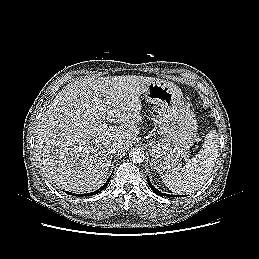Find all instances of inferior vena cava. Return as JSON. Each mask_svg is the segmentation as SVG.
Instances as JSON below:
<instances>
[{"label": "inferior vena cava", "mask_w": 259, "mask_h": 259, "mask_svg": "<svg viewBox=\"0 0 259 259\" xmlns=\"http://www.w3.org/2000/svg\"><path fill=\"white\" fill-rule=\"evenodd\" d=\"M120 148H121V144L119 142H114L110 146V150L112 153L118 152L120 150Z\"/></svg>", "instance_id": "obj_1"}]
</instances>
